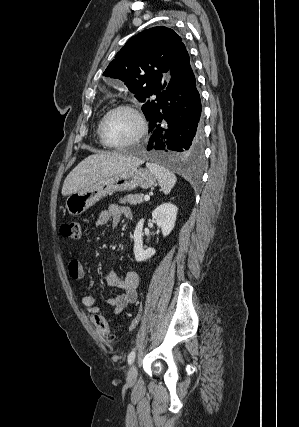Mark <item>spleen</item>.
I'll use <instances>...</instances> for the list:
<instances>
[{"label":"spleen","mask_w":299,"mask_h":427,"mask_svg":"<svg viewBox=\"0 0 299 427\" xmlns=\"http://www.w3.org/2000/svg\"><path fill=\"white\" fill-rule=\"evenodd\" d=\"M146 167L155 176L164 194H169L177 181L175 174L153 162H147Z\"/></svg>","instance_id":"1"}]
</instances>
